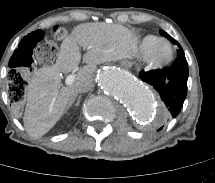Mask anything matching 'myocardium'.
I'll use <instances>...</instances> for the list:
<instances>
[{"mask_svg": "<svg viewBox=\"0 0 215 183\" xmlns=\"http://www.w3.org/2000/svg\"><path fill=\"white\" fill-rule=\"evenodd\" d=\"M166 46L168 51L166 54H159L160 49ZM146 66L149 70L156 71L167 67L174 59L173 45L166 40L159 41L144 55Z\"/></svg>", "mask_w": 215, "mask_h": 183, "instance_id": "obj_1", "label": "myocardium"}]
</instances>
